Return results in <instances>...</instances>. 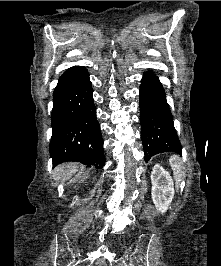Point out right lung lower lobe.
<instances>
[{
    "label": "right lung lower lobe",
    "instance_id": "obj_1",
    "mask_svg": "<svg viewBox=\"0 0 221 266\" xmlns=\"http://www.w3.org/2000/svg\"><path fill=\"white\" fill-rule=\"evenodd\" d=\"M50 155L53 166L79 161L100 168L105 163L100 124L87 70L73 66L59 78L53 94Z\"/></svg>",
    "mask_w": 221,
    "mask_h": 266
}]
</instances>
